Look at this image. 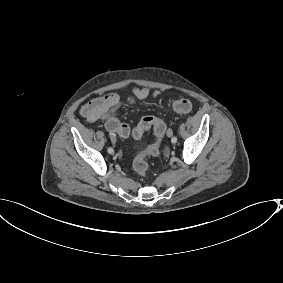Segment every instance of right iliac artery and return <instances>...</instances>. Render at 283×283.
<instances>
[{
  "instance_id": "1",
  "label": "right iliac artery",
  "mask_w": 283,
  "mask_h": 283,
  "mask_svg": "<svg viewBox=\"0 0 283 283\" xmlns=\"http://www.w3.org/2000/svg\"><path fill=\"white\" fill-rule=\"evenodd\" d=\"M108 153H110V154L113 153V148H111V147L108 148Z\"/></svg>"
}]
</instances>
